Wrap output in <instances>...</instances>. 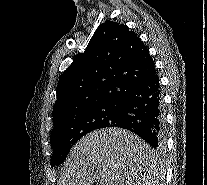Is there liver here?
I'll list each match as a JSON object with an SVG mask.
<instances>
[{
  "label": "liver",
  "instance_id": "6515ba94",
  "mask_svg": "<svg viewBox=\"0 0 207 185\" xmlns=\"http://www.w3.org/2000/svg\"><path fill=\"white\" fill-rule=\"evenodd\" d=\"M155 151L135 133L106 127L77 141L61 185H154Z\"/></svg>",
  "mask_w": 207,
  "mask_h": 185
}]
</instances>
